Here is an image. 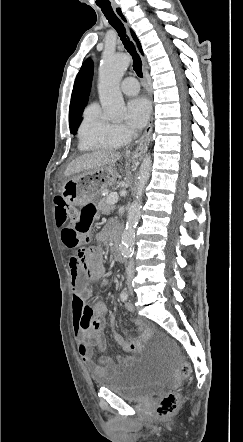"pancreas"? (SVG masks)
Wrapping results in <instances>:
<instances>
[{"mask_svg":"<svg viewBox=\"0 0 243 442\" xmlns=\"http://www.w3.org/2000/svg\"><path fill=\"white\" fill-rule=\"evenodd\" d=\"M108 197L102 198L98 203V210L105 214H109L115 209L114 205L108 203Z\"/></svg>","mask_w":243,"mask_h":442,"instance_id":"1","label":"pancreas"}]
</instances>
